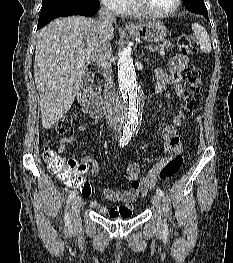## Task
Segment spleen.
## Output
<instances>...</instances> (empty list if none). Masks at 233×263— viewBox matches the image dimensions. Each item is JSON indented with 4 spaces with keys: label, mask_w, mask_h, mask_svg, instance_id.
Returning a JSON list of instances; mask_svg holds the SVG:
<instances>
[{
    "label": "spleen",
    "mask_w": 233,
    "mask_h": 263,
    "mask_svg": "<svg viewBox=\"0 0 233 263\" xmlns=\"http://www.w3.org/2000/svg\"><path fill=\"white\" fill-rule=\"evenodd\" d=\"M192 30L200 45V49L204 53H210L212 50V46H211L209 35L207 31L205 30V28L199 23H193Z\"/></svg>",
    "instance_id": "1"
}]
</instances>
